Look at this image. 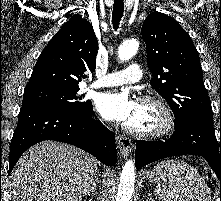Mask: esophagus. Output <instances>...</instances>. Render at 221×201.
I'll return each instance as SVG.
<instances>
[{
	"mask_svg": "<svg viewBox=\"0 0 221 201\" xmlns=\"http://www.w3.org/2000/svg\"><path fill=\"white\" fill-rule=\"evenodd\" d=\"M116 140L119 145V149H120L122 156L127 157L131 153V150H132L131 141L123 135H117Z\"/></svg>",
	"mask_w": 221,
	"mask_h": 201,
	"instance_id": "1",
	"label": "esophagus"
}]
</instances>
